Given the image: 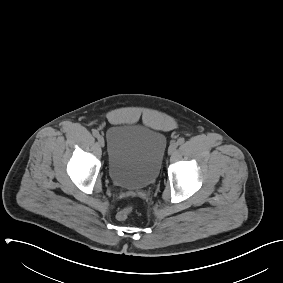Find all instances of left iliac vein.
<instances>
[{
  "instance_id": "1",
  "label": "left iliac vein",
  "mask_w": 283,
  "mask_h": 283,
  "mask_svg": "<svg viewBox=\"0 0 283 283\" xmlns=\"http://www.w3.org/2000/svg\"><path fill=\"white\" fill-rule=\"evenodd\" d=\"M177 146H178V143L175 142V141H172L169 148H168V154L172 155L176 151Z\"/></svg>"
}]
</instances>
